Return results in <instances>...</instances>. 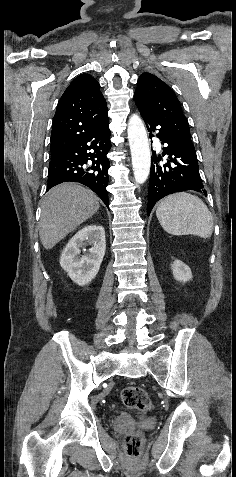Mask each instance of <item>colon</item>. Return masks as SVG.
I'll use <instances>...</instances> for the list:
<instances>
[{
  "label": "colon",
  "instance_id": "obj_1",
  "mask_svg": "<svg viewBox=\"0 0 236 477\" xmlns=\"http://www.w3.org/2000/svg\"><path fill=\"white\" fill-rule=\"evenodd\" d=\"M121 401L129 408L146 412L151 407L148 394L138 386H126L120 393ZM126 451L129 456L136 457L140 453L141 440L137 435H127L125 438Z\"/></svg>",
  "mask_w": 236,
  "mask_h": 477
}]
</instances>
